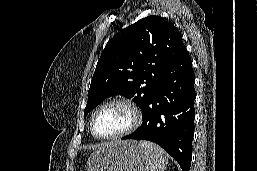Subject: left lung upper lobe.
Returning <instances> with one entry per match:
<instances>
[{
	"instance_id": "5c2ea615",
	"label": "left lung upper lobe",
	"mask_w": 257,
	"mask_h": 171,
	"mask_svg": "<svg viewBox=\"0 0 257 171\" xmlns=\"http://www.w3.org/2000/svg\"><path fill=\"white\" fill-rule=\"evenodd\" d=\"M183 46L173 24L159 16L128 26L107 43L100 56L84 115L113 95L133 98L144 111L167 63Z\"/></svg>"
}]
</instances>
